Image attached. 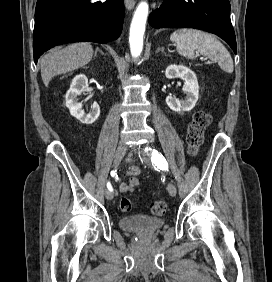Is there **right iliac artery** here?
Wrapping results in <instances>:
<instances>
[{
  "mask_svg": "<svg viewBox=\"0 0 272 282\" xmlns=\"http://www.w3.org/2000/svg\"><path fill=\"white\" fill-rule=\"evenodd\" d=\"M115 175H116V170H115V171L113 170V171L111 172V176L114 177ZM107 188H108L109 190H113V188H112V186H111V184H110L109 182L107 183Z\"/></svg>",
  "mask_w": 272,
  "mask_h": 282,
  "instance_id": "right-iliac-artery-1",
  "label": "right iliac artery"
}]
</instances>
